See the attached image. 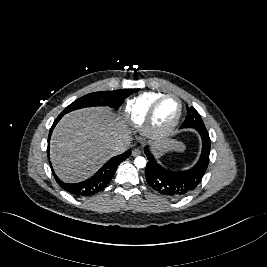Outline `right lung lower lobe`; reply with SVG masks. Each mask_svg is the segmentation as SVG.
Wrapping results in <instances>:
<instances>
[{
    "instance_id": "1",
    "label": "right lung lower lobe",
    "mask_w": 267,
    "mask_h": 267,
    "mask_svg": "<svg viewBox=\"0 0 267 267\" xmlns=\"http://www.w3.org/2000/svg\"><path fill=\"white\" fill-rule=\"evenodd\" d=\"M61 118L62 117L58 116L50 129L49 136H48V150H47L48 157H49L50 137H51L54 127L56 126V124ZM130 154H131V151L128 150L121 155L113 157L94 176L80 183H75V184L64 183L55 175L53 169H52V172L54 174V177L57 183L65 191L75 196H90L103 190L108 185V183L113 178L119 163L125 160L126 158H128Z\"/></svg>"
}]
</instances>
